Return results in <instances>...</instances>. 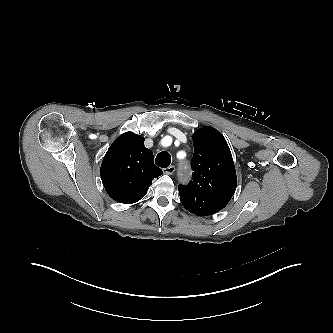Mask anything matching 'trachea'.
<instances>
[{
    "mask_svg": "<svg viewBox=\"0 0 333 333\" xmlns=\"http://www.w3.org/2000/svg\"><path fill=\"white\" fill-rule=\"evenodd\" d=\"M156 165L161 168H167L171 163V156L168 152L162 151L156 156Z\"/></svg>",
    "mask_w": 333,
    "mask_h": 333,
    "instance_id": "1",
    "label": "trachea"
}]
</instances>
